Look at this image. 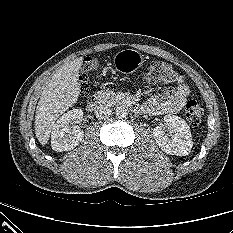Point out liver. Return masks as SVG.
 I'll list each match as a JSON object with an SVG mask.
<instances>
[{"label":"liver","mask_w":233,"mask_h":233,"mask_svg":"<svg viewBox=\"0 0 233 233\" xmlns=\"http://www.w3.org/2000/svg\"><path fill=\"white\" fill-rule=\"evenodd\" d=\"M83 58H76L53 74L43 88L35 114V134L45 145L57 118L72 107L79 97V70Z\"/></svg>","instance_id":"obj_1"}]
</instances>
